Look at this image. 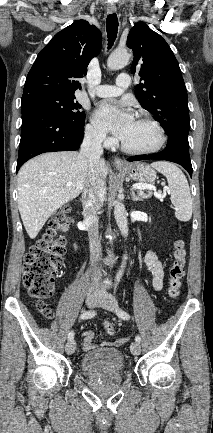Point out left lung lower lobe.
<instances>
[{
    "label": "left lung lower lobe",
    "mask_w": 213,
    "mask_h": 433,
    "mask_svg": "<svg viewBox=\"0 0 213 433\" xmlns=\"http://www.w3.org/2000/svg\"><path fill=\"white\" fill-rule=\"evenodd\" d=\"M147 159L167 160L178 163L188 171L190 176H192V165L189 156V143H186L181 139L168 140L165 149L159 153L132 156L128 158V161H140Z\"/></svg>",
    "instance_id": "obj_1"
}]
</instances>
